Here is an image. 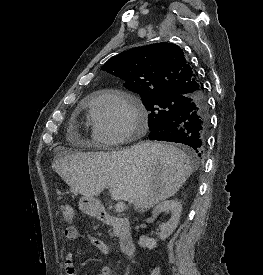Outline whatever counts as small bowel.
<instances>
[{"mask_svg": "<svg viewBox=\"0 0 263 275\" xmlns=\"http://www.w3.org/2000/svg\"><path fill=\"white\" fill-rule=\"evenodd\" d=\"M65 237L69 240H75L79 238V232L75 227L70 226L65 230ZM88 239L91 245L98 249L102 254H109L110 249L103 240L91 235L88 236ZM64 271L66 275H77V269L74 264V255L71 252L67 253L64 259ZM98 275H111V268L107 265L103 266Z\"/></svg>", "mask_w": 263, "mask_h": 275, "instance_id": "1", "label": "small bowel"}]
</instances>
